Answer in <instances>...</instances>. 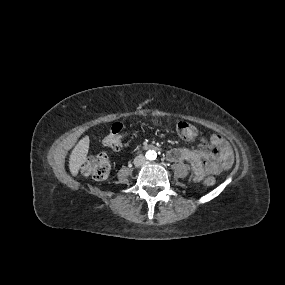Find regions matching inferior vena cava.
<instances>
[{"mask_svg": "<svg viewBox=\"0 0 285 285\" xmlns=\"http://www.w3.org/2000/svg\"><path fill=\"white\" fill-rule=\"evenodd\" d=\"M146 161H147V159H146L145 156H143V155H138V156H136L135 159H134V165L138 167V166H141V165L145 164Z\"/></svg>", "mask_w": 285, "mask_h": 285, "instance_id": "obj_1", "label": "inferior vena cava"}]
</instances>
